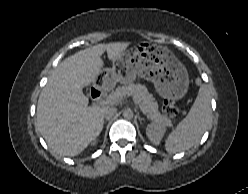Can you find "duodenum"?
I'll list each match as a JSON object with an SVG mask.
<instances>
[{"mask_svg": "<svg viewBox=\"0 0 248 194\" xmlns=\"http://www.w3.org/2000/svg\"><path fill=\"white\" fill-rule=\"evenodd\" d=\"M105 87L103 85H94L89 91V96L93 102H98L104 93Z\"/></svg>", "mask_w": 248, "mask_h": 194, "instance_id": "duodenum-1", "label": "duodenum"}]
</instances>
